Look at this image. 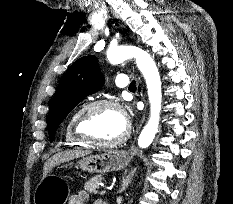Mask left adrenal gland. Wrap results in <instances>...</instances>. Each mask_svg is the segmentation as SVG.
<instances>
[{
	"instance_id": "a2214340",
	"label": "left adrenal gland",
	"mask_w": 233,
	"mask_h": 204,
	"mask_svg": "<svg viewBox=\"0 0 233 204\" xmlns=\"http://www.w3.org/2000/svg\"><path fill=\"white\" fill-rule=\"evenodd\" d=\"M127 170L124 172V175L122 177V182L120 185V189H119V193L123 192L126 190V188L128 187V185L131 183V180L133 179V176L136 172V168H133L129 174L127 175Z\"/></svg>"
}]
</instances>
